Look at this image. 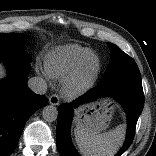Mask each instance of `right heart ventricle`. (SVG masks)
I'll return each instance as SVG.
<instances>
[{
    "instance_id": "right-heart-ventricle-1",
    "label": "right heart ventricle",
    "mask_w": 156,
    "mask_h": 156,
    "mask_svg": "<svg viewBox=\"0 0 156 156\" xmlns=\"http://www.w3.org/2000/svg\"><path fill=\"white\" fill-rule=\"evenodd\" d=\"M88 58L94 60L98 56L89 48L70 44L58 46L45 56V68L53 79L64 81L77 67L79 62Z\"/></svg>"
}]
</instances>
